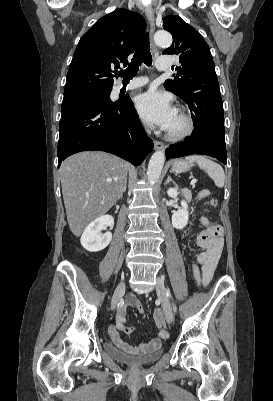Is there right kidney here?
Returning a JSON list of instances; mask_svg holds the SVG:
<instances>
[{"instance_id":"1","label":"right kidney","mask_w":273,"mask_h":401,"mask_svg":"<svg viewBox=\"0 0 273 401\" xmlns=\"http://www.w3.org/2000/svg\"><path fill=\"white\" fill-rule=\"evenodd\" d=\"M105 227H114V219L111 215H103L99 219L92 221L88 227H86L80 243L86 251L90 253H96V251H102L105 247H108L111 239L112 233H101Z\"/></svg>"}]
</instances>
